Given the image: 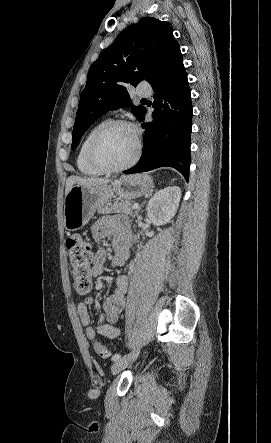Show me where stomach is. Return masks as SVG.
Returning a JSON list of instances; mask_svg holds the SVG:
<instances>
[{
  "label": "stomach",
  "mask_w": 271,
  "mask_h": 443,
  "mask_svg": "<svg viewBox=\"0 0 271 443\" xmlns=\"http://www.w3.org/2000/svg\"><path fill=\"white\" fill-rule=\"evenodd\" d=\"M153 180L146 174L135 176H122L113 186H73L65 196L64 202V227L68 231H76L86 225L94 212L102 208L111 198L135 200L151 192Z\"/></svg>",
  "instance_id": "1"
}]
</instances>
